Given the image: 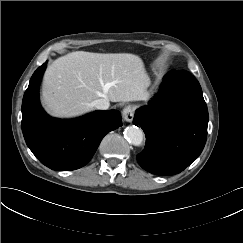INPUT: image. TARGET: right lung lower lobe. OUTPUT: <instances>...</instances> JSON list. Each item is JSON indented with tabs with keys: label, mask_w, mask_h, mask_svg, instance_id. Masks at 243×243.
<instances>
[{
	"label": "right lung lower lobe",
	"mask_w": 243,
	"mask_h": 243,
	"mask_svg": "<svg viewBox=\"0 0 243 243\" xmlns=\"http://www.w3.org/2000/svg\"><path fill=\"white\" fill-rule=\"evenodd\" d=\"M46 63L32 75L22 102V132L26 144L41 163L56 171L85 166L103 137L122 126L117 110L95 111L83 117L62 120L45 113L39 101V86Z\"/></svg>",
	"instance_id": "98d812e1"
}]
</instances>
